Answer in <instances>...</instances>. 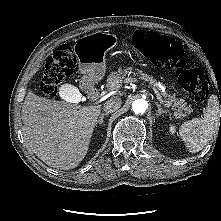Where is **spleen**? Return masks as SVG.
Instances as JSON below:
<instances>
[{
    "instance_id": "1",
    "label": "spleen",
    "mask_w": 221,
    "mask_h": 221,
    "mask_svg": "<svg viewBox=\"0 0 221 221\" xmlns=\"http://www.w3.org/2000/svg\"><path fill=\"white\" fill-rule=\"evenodd\" d=\"M219 112L218 97L212 95L201 118H193L181 125L179 134L189 152L196 153L202 150L217 133Z\"/></svg>"
}]
</instances>
